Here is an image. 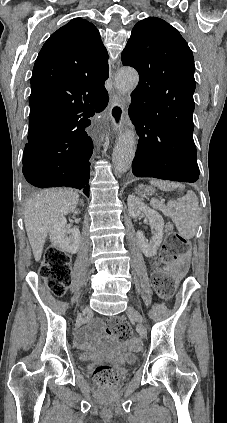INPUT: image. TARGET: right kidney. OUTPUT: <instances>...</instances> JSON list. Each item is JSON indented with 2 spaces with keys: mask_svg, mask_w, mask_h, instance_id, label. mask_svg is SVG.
<instances>
[{
  "mask_svg": "<svg viewBox=\"0 0 227 423\" xmlns=\"http://www.w3.org/2000/svg\"><path fill=\"white\" fill-rule=\"evenodd\" d=\"M74 213H79V211L75 210ZM66 223L67 219L64 215L59 217L50 229L49 239L55 247H59L62 251L77 253L80 245V231L78 227H68Z\"/></svg>",
  "mask_w": 227,
  "mask_h": 423,
  "instance_id": "ca27d5eb",
  "label": "right kidney"
}]
</instances>
